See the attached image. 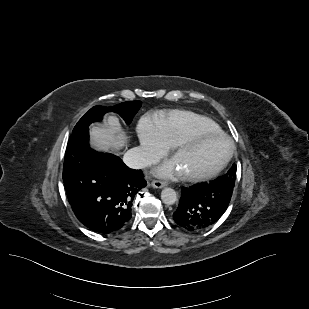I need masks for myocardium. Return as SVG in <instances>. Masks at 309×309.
Segmentation results:
<instances>
[{
  "label": "myocardium",
  "mask_w": 309,
  "mask_h": 309,
  "mask_svg": "<svg viewBox=\"0 0 309 309\" xmlns=\"http://www.w3.org/2000/svg\"><path fill=\"white\" fill-rule=\"evenodd\" d=\"M206 137H218L223 138L227 141L228 144V150L224 158L220 161V163L211 169L210 171L203 172V173H187L185 174L186 179L189 181L194 182H200V181H206L209 180L216 175H218L230 162L233 153H234V143L232 139L225 134L224 132H213V131H195L188 135L187 137L183 138L181 141H179L177 144H175L174 147V154L176 155L180 150L194 144L198 140Z\"/></svg>",
  "instance_id": "1"
}]
</instances>
